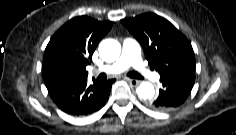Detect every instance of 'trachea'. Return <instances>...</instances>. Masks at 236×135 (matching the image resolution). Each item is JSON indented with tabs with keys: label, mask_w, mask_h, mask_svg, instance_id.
Returning a JSON list of instances; mask_svg holds the SVG:
<instances>
[{
	"label": "trachea",
	"mask_w": 236,
	"mask_h": 135,
	"mask_svg": "<svg viewBox=\"0 0 236 135\" xmlns=\"http://www.w3.org/2000/svg\"><path fill=\"white\" fill-rule=\"evenodd\" d=\"M127 75H128L130 78H134V79H142V78H143L139 73L134 72V71L128 72ZM102 77L106 78V75H105V74H102Z\"/></svg>",
	"instance_id": "obj_1"
}]
</instances>
